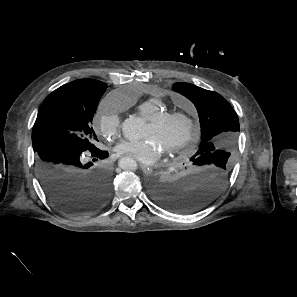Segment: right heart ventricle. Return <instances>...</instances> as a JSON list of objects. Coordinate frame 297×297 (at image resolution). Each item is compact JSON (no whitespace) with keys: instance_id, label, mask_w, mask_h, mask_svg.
Wrapping results in <instances>:
<instances>
[{"instance_id":"1","label":"right heart ventricle","mask_w":297,"mask_h":297,"mask_svg":"<svg viewBox=\"0 0 297 297\" xmlns=\"http://www.w3.org/2000/svg\"><path fill=\"white\" fill-rule=\"evenodd\" d=\"M137 109L142 116L150 120L161 113L167 112V105L163 99L152 97L139 104Z\"/></svg>"}]
</instances>
